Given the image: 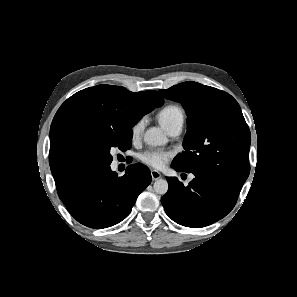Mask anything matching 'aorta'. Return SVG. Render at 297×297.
<instances>
[{"label":"aorta","instance_id":"aorta-1","mask_svg":"<svg viewBox=\"0 0 297 297\" xmlns=\"http://www.w3.org/2000/svg\"><path fill=\"white\" fill-rule=\"evenodd\" d=\"M144 141L147 145L156 147L163 146L168 142V138L159 128L152 127L144 134ZM154 191L164 195L168 191V182L164 179H158L154 182Z\"/></svg>","mask_w":297,"mask_h":297}]
</instances>
